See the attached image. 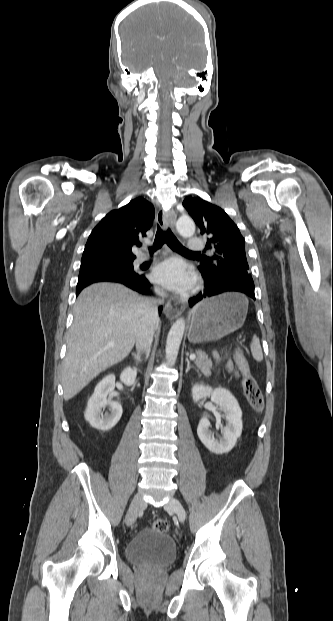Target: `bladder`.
<instances>
[{
    "label": "bladder",
    "mask_w": 333,
    "mask_h": 621,
    "mask_svg": "<svg viewBox=\"0 0 333 621\" xmlns=\"http://www.w3.org/2000/svg\"><path fill=\"white\" fill-rule=\"evenodd\" d=\"M173 538L155 529L141 530L126 546V558L136 565L166 566L176 557Z\"/></svg>",
    "instance_id": "31cf9c89"
}]
</instances>
